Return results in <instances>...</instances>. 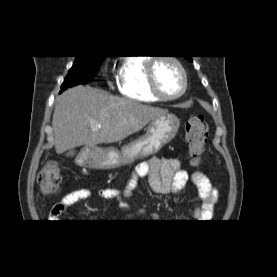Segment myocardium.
<instances>
[{"label":"myocardium","mask_w":277,"mask_h":277,"mask_svg":"<svg viewBox=\"0 0 277 277\" xmlns=\"http://www.w3.org/2000/svg\"><path fill=\"white\" fill-rule=\"evenodd\" d=\"M159 60H166V61L172 62L179 69V71L181 73L182 80H183V86H182V89L179 91V93H177L176 95H173V96L164 95L160 91V89L157 85V80H156V75H155V65ZM147 79H148V86H149L151 93L153 95H155L159 100H162V101H172V100H176V99L180 98L181 96H183L186 93V91L188 89V84H189L187 72H186L184 65L181 63V61L177 57L172 56V55L158 56V57H154L150 61H148Z\"/></svg>","instance_id":"f54148a6"}]
</instances>
